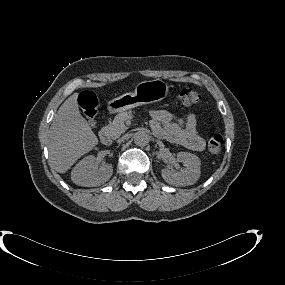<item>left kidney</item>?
<instances>
[{
  "instance_id": "5707ae66",
  "label": "left kidney",
  "mask_w": 285,
  "mask_h": 285,
  "mask_svg": "<svg viewBox=\"0 0 285 285\" xmlns=\"http://www.w3.org/2000/svg\"><path fill=\"white\" fill-rule=\"evenodd\" d=\"M177 160L183 162L184 168H181L180 172L163 169L161 173L163 179L174 186H188L196 183L201 174L199 157L189 152H179Z\"/></svg>"
}]
</instances>
